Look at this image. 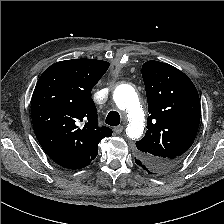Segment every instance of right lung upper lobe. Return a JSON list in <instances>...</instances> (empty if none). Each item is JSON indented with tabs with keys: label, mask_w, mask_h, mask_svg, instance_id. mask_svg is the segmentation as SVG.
Returning a JSON list of instances; mask_svg holds the SVG:
<instances>
[{
	"label": "right lung upper lobe",
	"mask_w": 224,
	"mask_h": 224,
	"mask_svg": "<svg viewBox=\"0 0 224 224\" xmlns=\"http://www.w3.org/2000/svg\"><path fill=\"white\" fill-rule=\"evenodd\" d=\"M109 68L106 61L73 59L54 63L40 76L31 100L37 140L45 153L68 169L88 166L98 143L112 135L99 127L91 90Z\"/></svg>",
	"instance_id": "right-lung-upper-lobe-1"
}]
</instances>
